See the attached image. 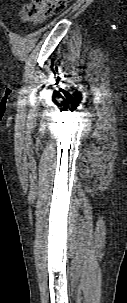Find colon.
I'll list each match as a JSON object with an SVG mask.
<instances>
[{"instance_id": "colon-1", "label": "colon", "mask_w": 127, "mask_h": 303, "mask_svg": "<svg viewBox=\"0 0 127 303\" xmlns=\"http://www.w3.org/2000/svg\"><path fill=\"white\" fill-rule=\"evenodd\" d=\"M69 0H31L24 11V17L30 20L38 19L46 14L63 10Z\"/></svg>"}]
</instances>
